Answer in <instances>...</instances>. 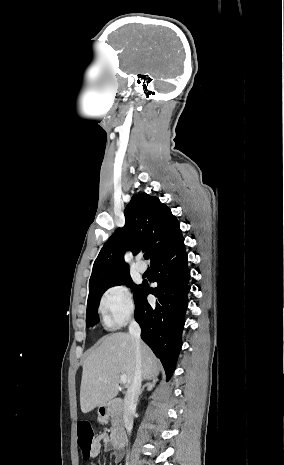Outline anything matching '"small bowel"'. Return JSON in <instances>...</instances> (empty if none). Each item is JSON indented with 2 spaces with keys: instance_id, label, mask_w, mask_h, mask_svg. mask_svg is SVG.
<instances>
[{
  "instance_id": "small-bowel-1",
  "label": "small bowel",
  "mask_w": 284,
  "mask_h": 465,
  "mask_svg": "<svg viewBox=\"0 0 284 465\" xmlns=\"http://www.w3.org/2000/svg\"><path fill=\"white\" fill-rule=\"evenodd\" d=\"M102 448H105L106 450L110 448V440L107 433H102L95 438L92 449V457H96Z\"/></svg>"
}]
</instances>
